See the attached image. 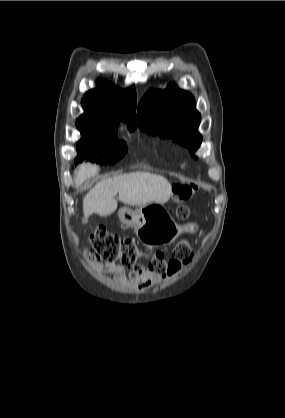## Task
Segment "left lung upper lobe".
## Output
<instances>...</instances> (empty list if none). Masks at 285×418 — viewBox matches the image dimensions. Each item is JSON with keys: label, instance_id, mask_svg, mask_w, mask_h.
<instances>
[{"label": "left lung upper lobe", "instance_id": "5c2ea615", "mask_svg": "<svg viewBox=\"0 0 285 418\" xmlns=\"http://www.w3.org/2000/svg\"><path fill=\"white\" fill-rule=\"evenodd\" d=\"M138 126L154 135L172 138L187 147L190 153L199 148L202 136L198 133L200 113L193 96L170 84L164 91L150 90L138 106Z\"/></svg>", "mask_w": 285, "mask_h": 418}]
</instances>
